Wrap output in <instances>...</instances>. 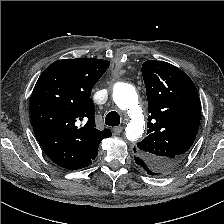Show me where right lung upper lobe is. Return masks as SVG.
Returning a JSON list of instances; mask_svg holds the SVG:
<instances>
[{
  "label": "right lung upper lobe",
  "instance_id": "right-lung-upper-lobe-1",
  "mask_svg": "<svg viewBox=\"0 0 224 224\" xmlns=\"http://www.w3.org/2000/svg\"><path fill=\"white\" fill-rule=\"evenodd\" d=\"M110 62L95 58L53 62L40 75L31 96L35 136L57 165L77 170L92 163L102 139L111 131L95 125L91 90Z\"/></svg>",
  "mask_w": 224,
  "mask_h": 224
}]
</instances>
